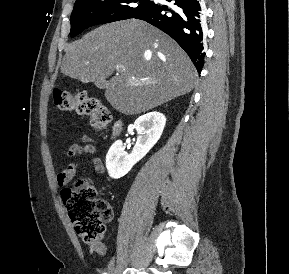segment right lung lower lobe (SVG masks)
Instances as JSON below:
<instances>
[{
	"instance_id": "obj_1",
	"label": "right lung lower lobe",
	"mask_w": 289,
	"mask_h": 274,
	"mask_svg": "<svg viewBox=\"0 0 289 274\" xmlns=\"http://www.w3.org/2000/svg\"><path fill=\"white\" fill-rule=\"evenodd\" d=\"M172 7L153 3L135 16L170 35L186 51L200 73L204 63V14L201 0H167Z\"/></svg>"
}]
</instances>
